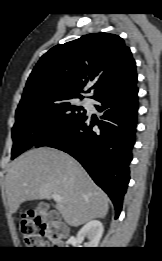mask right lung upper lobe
<instances>
[{
  "label": "right lung upper lobe",
  "instance_id": "cb5924a9",
  "mask_svg": "<svg viewBox=\"0 0 162 261\" xmlns=\"http://www.w3.org/2000/svg\"><path fill=\"white\" fill-rule=\"evenodd\" d=\"M135 61L124 40L92 33L57 45L45 53L30 74L20 102L37 96H78L94 83V99L136 85ZM90 89L87 91L89 92Z\"/></svg>",
  "mask_w": 162,
  "mask_h": 261
}]
</instances>
